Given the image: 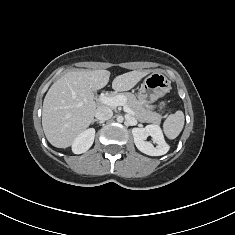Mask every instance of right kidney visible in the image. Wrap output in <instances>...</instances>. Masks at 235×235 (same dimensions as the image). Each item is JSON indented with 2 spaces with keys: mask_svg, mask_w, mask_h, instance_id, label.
Masks as SVG:
<instances>
[{
  "mask_svg": "<svg viewBox=\"0 0 235 235\" xmlns=\"http://www.w3.org/2000/svg\"><path fill=\"white\" fill-rule=\"evenodd\" d=\"M95 137V129L89 128L80 133L72 143V151L75 154L86 152L93 144Z\"/></svg>",
  "mask_w": 235,
  "mask_h": 235,
  "instance_id": "right-kidney-1",
  "label": "right kidney"
}]
</instances>
